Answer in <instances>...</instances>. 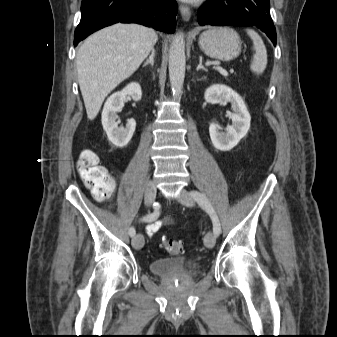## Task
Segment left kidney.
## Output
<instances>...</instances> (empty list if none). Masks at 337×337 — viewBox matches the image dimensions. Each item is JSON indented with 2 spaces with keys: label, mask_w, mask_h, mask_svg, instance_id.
Listing matches in <instances>:
<instances>
[{
  "label": "left kidney",
  "mask_w": 337,
  "mask_h": 337,
  "mask_svg": "<svg viewBox=\"0 0 337 337\" xmlns=\"http://www.w3.org/2000/svg\"><path fill=\"white\" fill-rule=\"evenodd\" d=\"M204 98L211 104L226 101L232 105L233 113L229 114L232 124L227 126L226 132H221L222 128L214 122L209 126L213 146L221 151H229L239 143L250 128L251 117L247 107L243 99L226 85L210 86L205 91Z\"/></svg>",
  "instance_id": "1"
}]
</instances>
